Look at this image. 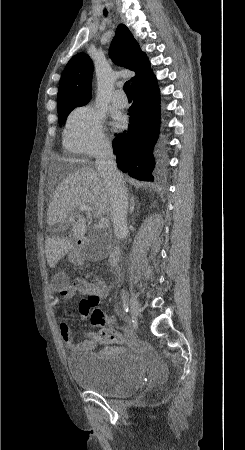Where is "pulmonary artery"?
Segmentation results:
<instances>
[{"mask_svg":"<svg viewBox=\"0 0 245 450\" xmlns=\"http://www.w3.org/2000/svg\"><path fill=\"white\" fill-rule=\"evenodd\" d=\"M112 102L118 107H125L127 105L128 99L121 88L114 91Z\"/></svg>","mask_w":245,"mask_h":450,"instance_id":"1","label":"pulmonary artery"}]
</instances>
